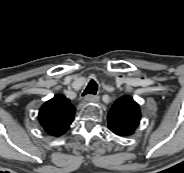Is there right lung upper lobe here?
I'll list each match as a JSON object with an SVG mask.
<instances>
[{
    "label": "right lung upper lobe",
    "mask_w": 184,
    "mask_h": 173,
    "mask_svg": "<svg viewBox=\"0 0 184 173\" xmlns=\"http://www.w3.org/2000/svg\"><path fill=\"white\" fill-rule=\"evenodd\" d=\"M75 108L64 95H55L45 102L39 111V121L43 129L51 136H61L70 127Z\"/></svg>",
    "instance_id": "right-lung-upper-lobe-1"
}]
</instances>
